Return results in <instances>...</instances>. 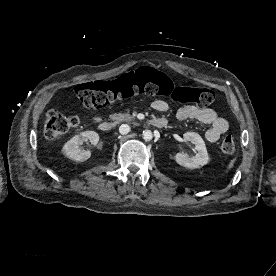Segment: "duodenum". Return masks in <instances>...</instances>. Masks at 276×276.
I'll list each match as a JSON object with an SVG mask.
<instances>
[{
  "mask_svg": "<svg viewBox=\"0 0 276 276\" xmlns=\"http://www.w3.org/2000/svg\"><path fill=\"white\" fill-rule=\"evenodd\" d=\"M149 124L157 128H162L167 125V121L163 118H153L149 121ZM112 127L113 125L109 121H103L99 124V129L105 133L110 132Z\"/></svg>",
  "mask_w": 276,
  "mask_h": 276,
  "instance_id": "410a0bca",
  "label": "duodenum"
}]
</instances>
